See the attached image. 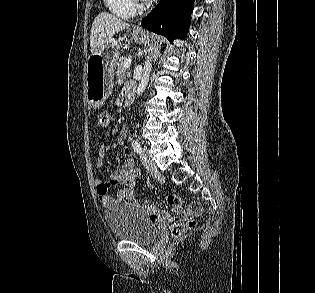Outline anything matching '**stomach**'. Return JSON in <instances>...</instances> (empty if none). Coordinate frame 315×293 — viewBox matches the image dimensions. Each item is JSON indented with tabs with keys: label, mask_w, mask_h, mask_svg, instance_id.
I'll use <instances>...</instances> for the list:
<instances>
[{
	"label": "stomach",
	"mask_w": 315,
	"mask_h": 293,
	"mask_svg": "<svg viewBox=\"0 0 315 293\" xmlns=\"http://www.w3.org/2000/svg\"><path fill=\"white\" fill-rule=\"evenodd\" d=\"M135 42L146 44L149 35L145 31L131 33ZM120 45L112 39L97 52L91 53L87 61L86 97L89 104L99 109L111 94L114 84V66L118 62Z\"/></svg>",
	"instance_id": "obj_1"
}]
</instances>
